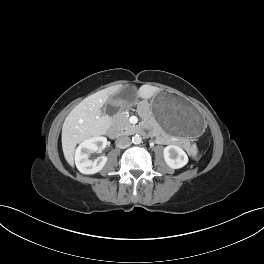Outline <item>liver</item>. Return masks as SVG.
Listing matches in <instances>:
<instances>
[{"label": "liver", "mask_w": 264, "mask_h": 264, "mask_svg": "<svg viewBox=\"0 0 264 264\" xmlns=\"http://www.w3.org/2000/svg\"><path fill=\"white\" fill-rule=\"evenodd\" d=\"M118 86L98 91L81 101L66 117L62 127V149L66 161L74 165V152L78 143L93 137L106 134L111 126V118L103 115L101 108L109 96L118 92ZM160 91L159 88L143 85L138 97L149 99Z\"/></svg>", "instance_id": "1"}]
</instances>
